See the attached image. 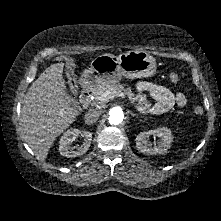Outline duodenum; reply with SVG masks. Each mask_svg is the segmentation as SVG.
<instances>
[{
  "label": "duodenum",
  "mask_w": 221,
  "mask_h": 221,
  "mask_svg": "<svg viewBox=\"0 0 221 221\" xmlns=\"http://www.w3.org/2000/svg\"><path fill=\"white\" fill-rule=\"evenodd\" d=\"M93 96L92 87H84L80 94V103L84 108H88L91 105Z\"/></svg>",
  "instance_id": "obj_1"
}]
</instances>
